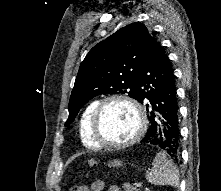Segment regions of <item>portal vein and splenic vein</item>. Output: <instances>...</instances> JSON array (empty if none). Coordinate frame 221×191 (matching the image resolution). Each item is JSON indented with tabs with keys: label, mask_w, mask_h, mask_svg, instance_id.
<instances>
[{
	"label": "portal vein and splenic vein",
	"mask_w": 221,
	"mask_h": 191,
	"mask_svg": "<svg viewBox=\"0 0 221 191\" xmlns=\"http://www.w3.org/2000/svg\"><path fill=\"white\" fill-rule=\"evenodd\" d=\"M141 185H142V184H141L140 182L136 183V187H138V188H140Z\"/></svg>",
	"instance_id": "1"
}]
</instances>
